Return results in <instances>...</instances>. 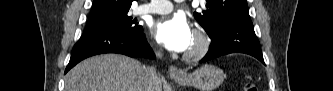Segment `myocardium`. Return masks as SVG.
Instances as JSON below:
<instances>
[{
	"mask_svg": "<svg viewBox=\"0 0 333 91\" xmlns=\"http://www.w3.org/2000/svg\"><path fill=\"white\" fill-rule=\"evenodd\" d=\"M193 36L196 39V45L184 54V59L187 61H196L203 58L209 51L211 39L208 33L202 28H196L193 31Z\"/></svg>",
	"mask_w": 333,
	"mask_h": 91,
	"instance_id": "myocardium-1",
	"label": "myocardium"
}]
</instances>
